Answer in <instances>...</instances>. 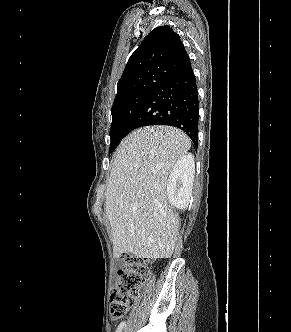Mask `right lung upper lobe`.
Returning a JSON list of instances; mask_svg holds the SVG:
<instances>
[{"mask_svg": "<svg viewBox=\"0 0 291 332\" xmlns=\"http://www.w3.org/2000/svg\"><path fill=\"white\" fill-rule=\"evenodd\" d=\"M191 65L189 56L169 26L155 28L134 51L117 83L115 100L148 89L154 82Z\"/></svg>", "mask_w": 291, "mask_h": 332, "instance_id": "1", "label": "right lung upper lobe"}]
</instances>
